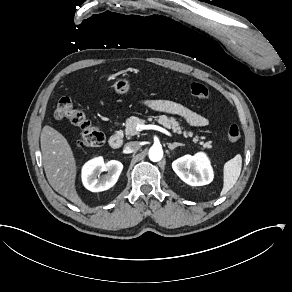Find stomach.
Wrapping results in <instances>:
<instances>
[{"mask_svg":"<svg viewBox=\"0 0 292 292\" xmlns=\"http://www.w3.org/2000/svg\"><path fill=\"white\" fill-rule=\"evenodd\" d=\"M113 88H114L116 93L125 94L129 91L130 84H129V81L127 79L120 78L113 84Z\"/></svg>","mask_w":292,"mask_h":292,"instance_id":"0dacf381","label":"stomach"}]
</instances>
